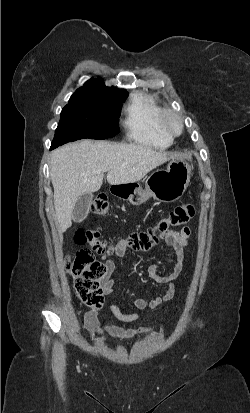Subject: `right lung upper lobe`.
<instances>
[{"label":"right lung upper lobe","mask_w":250,"mask_h":413,"mask_svg":"<svg viewBox=\"0 0 250 413\" xmlns=\"http://www.w3.org/2000/svg\"><path fill=\"white\" fill-rule=\"evenodd\" d=\"M77 91H86V92H94V93H101L107 94L112 96H127L128 93L125 90H119L116 88L106 87L103 83L101 78L98 79H90L87 81L83 87H80Z\"/></svg>","instance_id":"cb5924a9"}]
</instances>
